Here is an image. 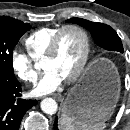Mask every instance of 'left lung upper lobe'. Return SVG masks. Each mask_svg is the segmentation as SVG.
<instances>
[{"label":"left lung upper lobe","instance_id":"1","mask_svg":"<svg viewBox=\"0 0 130 130\" xmlns=\"http://www.w3.org/2000/svg\"><path fill=\"white\" fill-rule=\"evenodd\" d=\"M66 22L75 23L86 28L91 33L99 47L108 51L124 52L122 42L118 34L109 25L91 22L82 18H71Z\"/></svg>","mask_w":130,"mask_h":130}]
</instances>
